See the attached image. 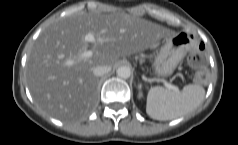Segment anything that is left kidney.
<instances>
[{
  "instance_id": "left-kidney-1",
  "label": "left kidney",
  "mask_w": 238,
  "mask_h": 145,
  "mask_svg": "<svg viewBox=\"0 0 238 145\" xmlns=\"http://www.w3.org/2000/svg\"><path fill=\"white\" fill-rule=\"evenodd\" d=\"M141 87H142L141 85L138 86V89H139L138 97H139V98H142V97H143V93H142V91H141Z\"/></svg>"
}]
</instances>
